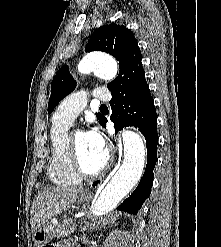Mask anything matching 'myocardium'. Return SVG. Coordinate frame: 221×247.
<instances>
[{"mask_svg":"<svg viewBox=\"0 0 221 247\" xmlns=\"http://www.w3.org/2000/svg\"><path fill=\"white\" fill-rule=\"evenodd\" d=\"M78 132H81V131H78ZM81 133H83V132H81ZM69 148H70V156H71L73 168L80 178H84V179L96 178V177L102 175L110 166L111 154L109 151H106L105 160H104L102 166L94 172H87L84 169L82 162L80 160L74 134L69 138Z\"/></svg>","mask_w":221,"mask_h":247,"instance_id":"1","label":"myocardium"}]
</instances>
